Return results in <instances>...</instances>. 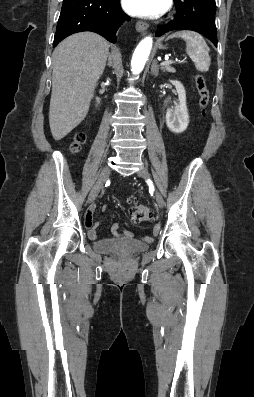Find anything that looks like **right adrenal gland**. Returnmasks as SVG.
Masks as SVG:
<instances>
[{"instance_id":"1","label":"right adrenal gland","mask_w":254,"mask_h":397,"mask_svg":"<svg viewBox=\"0 0 254 397\" xmlns=\"http://www.w3.org/2000/svg\"><path fill=\"white\" fill-rule=\"evenodd\" d=\"M108 66H109V67H112V66H113V62H112V57H111V55H109Z\"/></svg>"}]
</instances>
